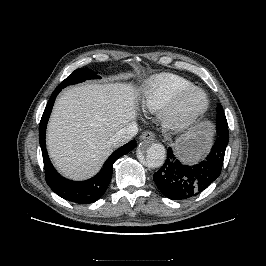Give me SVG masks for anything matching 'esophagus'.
<instances>
[{
  "label": "esophagus",
  "instance_id": "34e87169",
  "mask_svg": "<svg viewBox=\"0 0 266 266\" xmlns=\"http://www.w3.org/2000/svg\"><path fill=\"white\" fill-rule=\"evenodd\" d=\"M155 135L150 131H145L140 135V140H154Z\"/></svg>",
  "mask_w": 266,
  "mask_h": 266
}]
</instances>
